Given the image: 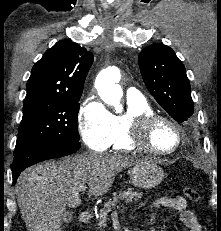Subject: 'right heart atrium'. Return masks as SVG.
Masks as SVG:
<instances>
[{"mask_svg": "<svg viewBox=\"0 0 221 231\" xmlns=\"http://www.w3.org/2000/svg\"><path fill=\"white\" fill-rule=\"evenodd\" d=\"M113 115L96 96L87 97L78 114V127L84 144L91 150L108 148L113 135Z\"/></svg>", "mask_w": 221, "mask_h": 231, "instance_id": "obj_1", "label": "right heart atrium"}]
</instances>
